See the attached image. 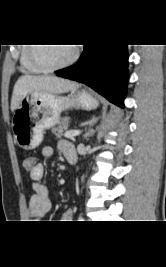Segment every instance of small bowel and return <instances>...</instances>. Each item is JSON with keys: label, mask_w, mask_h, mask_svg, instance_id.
Listing matches in <instances>:
<instances>
[{"label": "small bowel", "mask_w": 166, "mask_h": 267, "mask_svg": "<svg viewBox=\"0 0 166 267\" xmlns=\"http://www.w3.org/2000/svg\"><path fill=\"white\" fill-rule=\"evenodd\" d=\"M59 150L68 160L69 157H75L76 153L72 143L61 140L58 143ZM53 148L51 146H45L41 149V156L45 159L50 158L53 155ZM31 178V187L33 194L29 201L28 215L33 219H40L46 216L52 209V201L49 196L48 189L41 180L44 175V165L41 162L35 163L32 170L29 171ZM74 218L73 210L68 209L64 212L61 218V222H72Z\"/></svg>", "instance_id": "c3829d8e"}]
</instances>
